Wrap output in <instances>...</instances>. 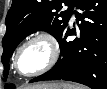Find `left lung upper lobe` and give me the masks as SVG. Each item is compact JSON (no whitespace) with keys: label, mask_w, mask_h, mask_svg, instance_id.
Here are the masks:
<instances>
[{"label":"left lung upper lobe","mask_w":107,"mask_h":89,"mask_svg":"<svg viewBox=\"0 0 107 89\" xmlns=\"http://www.w3.org/2000/svg\"><path fill=\"white\" fill-rule=\"evenodd\" d=\"M81 0H12L11 8L6 16V34L2 40L4 65L3 75L6 78L9 71V59L17 45L28 35L44 30L57 40L62 35L72 15L73 8ZM62 3L68 9L61 11ZM13 89L14 85H6Z\"/></svg>","instance_id":"1"}]
</instances>
